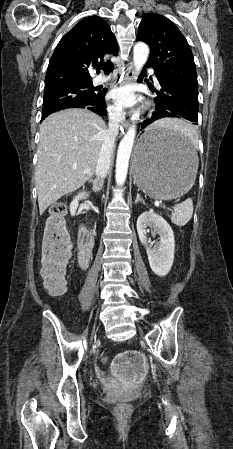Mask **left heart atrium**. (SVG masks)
<instances>
[{
  "instance_id": "39dd6f15",
  "label": "left heart atrium",
  "mask_w": 233,
  "mask_h": 449,
  "mask_svg": "<svg viewBox=\"0 0 233 449\" xmlns=\"http://www.w3.org/2000/svg\"><path fill=\"white\" fill-rule=\"evenodd\" d=\"M110 97L119 107H130L136 102L134 91L130 86L115 87L110 92Z\"/></svg>"
}]
</instances>
